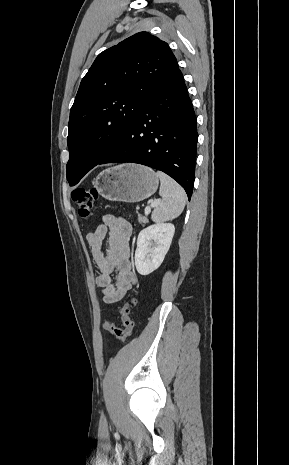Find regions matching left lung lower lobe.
Listing matches in <instances>:
<instances>
[{
	"instance_id": "1",
	"label": "left lung lower lobe",
	"mask_w": 289,
	"mask_h": 465,
	"mask_svg": "<svg viewBox=\"0 0 289 465\" xmlns=\"http://www.w3.org/2000/svg\"><path fill=\"white\" fill-rule=\"evenodd\" d=\"M197 122L181 71L157 85L117 144L98 163L132 162L175 179L190 200L195 174Z\"/></svg>"
}]
</instances>
